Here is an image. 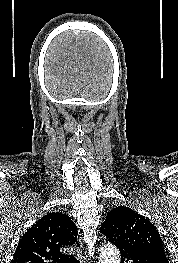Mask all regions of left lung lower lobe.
I'll return each instance as SVG.
<instances>
[{"mask_svg": "<svg viewBox=\"0 0 178 263\" xmlns=\"http://www.w3.org/2000/svg\"><path fill=\"white\" fill-rule=\"evenodd\" d=\"M102 233L119 249L121 253V263L127 261L131 263H169L166 255L148 249L119 245L107 233Z\"/></svg>", "mask_w": 178, "mask_h": 263, "instance_id": "obj_1", "label": "left lung lower lobe"}]
</instances>
